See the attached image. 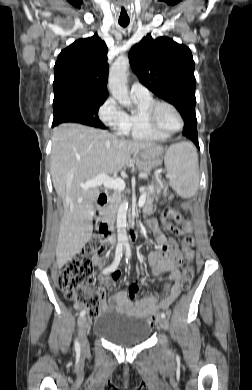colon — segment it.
Masks as SVG:
<instances>
[{"label":"colon","mask_w":252,"mask_h":390,"mask_svg":"<svg viewBox=\"0 0 252 390\" xmlns=\"http://www.w3.org/2000/svg\"><path fill=\"white\" fill-rule=\"evenodd\" d=\"M162 219L166 228L174 234H184L181 241L183 254L188 264L183 268L181 289L187 290L194 277L191 261L194 258V239L188 232L191 229L189 221L171 208L164 210ZM171 221L182 225V230ZM105 242L101 234H95L86 243L77 257L64 265L59 272L58 285L65 296L74 301L90 318H96L101 313L103 294L91 290L94 259L105 251Z\"/></svg>","instance_id":"5ec220e1"}]
</instances>
